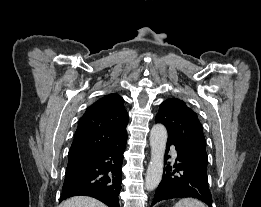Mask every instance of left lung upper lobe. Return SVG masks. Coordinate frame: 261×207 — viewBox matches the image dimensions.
I'll list each match as a JSON object with an SVG mask.
<instances>
[{"label":"left lung upper lobe","instance_id":"5c2ea615","mask_svg":"<svg viewBox=\"0 0 261 207\" xmlns=\"http://www.w3.org/2000/svg\"><path fill=\"white\" fill-rule=\"evenodd\" d=\"M168 131L167 142L195 162L207 167L208 158L203 129L197 114L177 98L164 101L155 117Z\"/></svg>","mask_w":261,"mask_h":207}]
</instances>
